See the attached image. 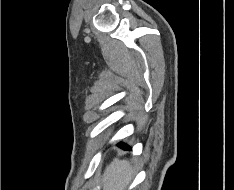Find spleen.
I'll use <instances>...</instances> for the list:
<instances>
[{
	"label": "spleen",
	"instance_id": "1",
	"mask_svg": "<svg viewBox=\"0 0 234 190\" xmlns=\"http://www.w3.org/2000/svg\"><path fill=\"white\" fill-rule=\"evenodd\" d=\"M133 177V170L126 160L115 159L105 170L103 190H125Z\"/></svg>",
	"mask_w": 234,
	"mask_h": 190
}]
</instances>
